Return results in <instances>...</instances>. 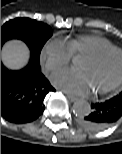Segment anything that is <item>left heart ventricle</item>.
<instances>
[{"mask_svg": "<svg viewBox=\"0 0 122 154\" xmlns=\"http://www.w3.org/2000/svg\"><path fill=\"white\" fill-rule=\"evenodd\" d=\"M78 68L85 72L93 90L98 91L111 85L122 72V55L112 53L100 61L83 58Z\"/></svg>", "mask_w": 122, "mask_h": 154, "instance_id": "1", "label": "left heart ventricle"}]
</instances>
